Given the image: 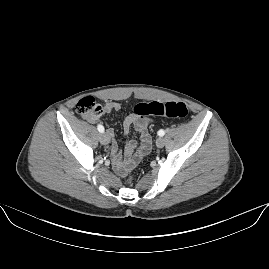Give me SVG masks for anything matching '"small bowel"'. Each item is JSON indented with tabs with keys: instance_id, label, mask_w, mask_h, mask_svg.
Returning <instances> with one entry per match:
<instances>
[{
	"instance_id": "1",
	"label": "small bowel",
	"mask_w": 269,
	"mask_h": 269,
	"mask_svg": "<svg viewBox=\"0 0 269 269\" xmlns=\"http://www.w3.org/2000/svg\"><path fill=\"white\" fill-rule=\"evenodd\" d=\"M121 105L118 102H107L103 106L104 113H110L112 111L119 110ZM92 122L96 121V118L90 119ZM149 121L146 119H143L136 115H129L125 118L122 124V129L125 134H129L131 127H134V129L139 133L140 140L142 142L143 136L142 133L144 129L148 128ZM107 134L111 137V160L112 165L114 169L119 174H124L127 169L133 165L135 162L140 161L143 157L147 156L144 154L142 150V145L140 143V146L136 153L134 154L135 148H136V142L133 139H130L126 142L125 149H124V157L122 158L121 152L119 151L117 144L114 140V131L112 128L107 129Z\"/></svg>"
}]
</instances>
